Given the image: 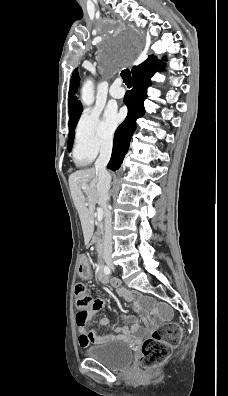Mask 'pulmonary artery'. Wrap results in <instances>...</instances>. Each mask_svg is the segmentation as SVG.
<instances>
[{"label": "pulmonary artery", "mask_w": 228, "mask_h": 396, "mask_svg": "<svg viewBox=\"0 0 228 396\" xmlns=\"http://www.w3.org/2000/svg\"><path fill=\"white\" fill-rule=\"evenodd\" d=\"M109 94H110L111 97H113L115 99H120V98H122L124 96L125 91L121 87V84H120V82L118 80L113 82L112 85L110 86Z\"/></svg>", "instance_id": "pulmonary-artery-1"}]
</instances>
